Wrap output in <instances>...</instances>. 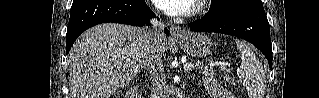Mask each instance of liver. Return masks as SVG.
Segmentation results:
<instances>
[{"label":"liver","instance_id":"1","mask_svg":"<svg viewBox=\"0 0 319 98\" xmlns=\"http://www.w3.org/2000/svg\"><path fill=\"white\" fill-rule=\"evenodd\" d=\"M146 28L105 23L84 32L69 52L70 98H110L147 65ZM168 49L167 39L161 43Z\"/></svg>","mask_w":319,"mask_h":98}]
</instances>
